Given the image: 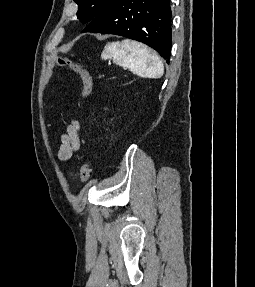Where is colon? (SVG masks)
Here are the masks:
<instances>
[{"label":"colon","mask_w":255,"mask_h":287,"mask_svg":"<svg viewBox=\"0 0 255 287\" xmlns=\"http://www.w3.org/2000/svg\"><path fill=\"white\" fill-rule=\"evenodd\" d=\"M58 64L59 66L76 73L81 78L82 83H83L82 95L84 97H87L91 94L92 79H91L89 72L83 66L65 57L59 58ZM79 175H80L81 184H85L89 180L91 176V170L87 162H83L81 164L80 169H79Z\"/></svg>","instance_id":"1"}]
</instances>
